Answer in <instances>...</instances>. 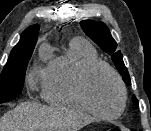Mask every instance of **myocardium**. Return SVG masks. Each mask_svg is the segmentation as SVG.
<instances>
[{"label": "myocardium", "instance_id": "myocardium-1", "mask_svg": "<svg viewBox=\"0 0 151 131\" xmlns=\"http://www.w3.org/2000/svg\"><path fill=\"white\" fill-rule=\"evenodd\" d=\"M100 68H104L111 73L120 91V107L118 111L114 114L108 115L96 110L95 107L92 105L87 93V83L90 75ZM73 90L76 98L78 99L82 107L95 117L102 120H115L119 118L124 113L127 106V91L121 76L110 64L100 59L94 60L84 67V69L81 71V73L74 82Z\"/></svg>", "mask_w": 151, "mask_h": 131}]
</instances>
